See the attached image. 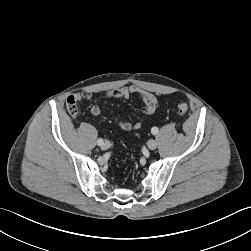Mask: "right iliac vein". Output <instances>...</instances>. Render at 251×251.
Listing matches in <instances>:
<instances>
[{"label":"right iliac vein","mask_w":251,"mask_h":251,"mask_svg":"<svg viewBox=\"0 0 251 251\" xmlns=\"http://www.w3.org/2000/svg\"><path fill=\"white\" fill-rule=\"evenodd\" d=\"M109 147H110V143H109L108 141L104 142V143L101 145V149H102V150H107Z\"/></svg>","instance_id":"63e3f726"}]
</instances>
